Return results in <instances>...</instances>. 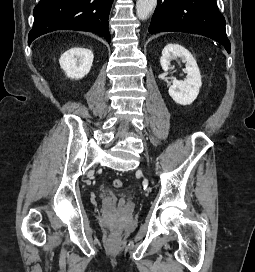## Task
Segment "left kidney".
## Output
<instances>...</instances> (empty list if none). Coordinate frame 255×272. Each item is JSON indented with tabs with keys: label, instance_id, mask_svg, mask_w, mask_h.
<instances>
[{
	"label": "left kidney",
	"instance_id": "5707ae66",
	"mask_svg": "<svg viewBox=\"0 0 255 272\" xmlns=\"http://www.w3.org/2000/svg\"><path fill=\"white\" fill-rule=\"evenodd\" d=\"M177 57H180L185 63L187 76L184 81L173 78L168 92L176 103L190 105L197 98L202 86L200 71L192 54L179 44H168L164 47L160 58L162 69L165 72L169 71L171 60Z\"/></svg>",
	"mask_w": 255,
	"mask_h": 272
}]
</instances>
